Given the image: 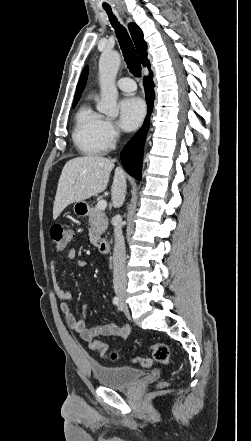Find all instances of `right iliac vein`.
Returning <instances> with one entry per match:
<instances>
[{
    "mask_svg": "<svg viewBox=\"0 0 251 441\" xmlns=\"http://www.w3.org/2000/svg\"><path fill=\"white\" fill-rule=\"evenodd\" d=\"M118 297L120 298V300H121L122 302L124 301V294L119 293V294H118Z\"/></svg>",
    "mask_w": 251,
    "mask_h": 441,
    "instance_id": "1",
    "label": "right iliac vein"
}]
</instances>
